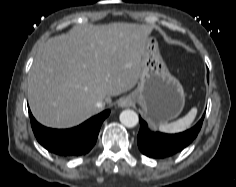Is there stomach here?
<instances>
[{
  "label": "stomach",
  "mask_w": 236,
  "mask_h": 187,
  "mask_svg": "<svg viewBox=\"0 0 236 187\" xmlns=\"http://www.w3.org/2000/svg\"><path fill=\"white\" fill-rule=\"evenodd\" d=\"M129 97L140 104L152 127L173 120L184 108V89L167 69L157 39L153 36L147 39L137 88Z\"/></svg>",
  "instance_id": "obj_1"
}]
</instances>
